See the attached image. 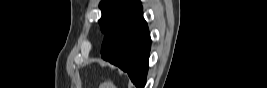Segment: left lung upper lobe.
<instances>
[{
	"mask_svg": "<svg viewBox=\"0 0 267 88\" xmlns=\"http://www.w3.org/2000/svg\"><path fill=\"white\" fill-rule=\"evenodd\" d=\"M140 4L139 0H103L100 3L102 17L99 24L101 31L107 34L125 14Z\"/></svg>",
	"mask_w": 267,
	"mask_h": 88,
	"instance_id": "left-lung-upper-lobe-1",
	"label": "left lung upper lobe"
}]
</instances>
